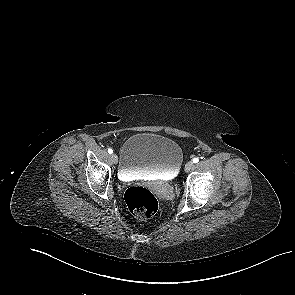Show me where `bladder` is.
Listing matches in <instances>:
<instances>
[{"instance_id": "1", "label": "bladder", "mask_w": 295, "mask_h": 295, "mask_svg": "<svg viewBox=\"0 0 295 295\" xmlns=\"http://www.w3.org/2000/svg\"><path fill=\"white\" fill-rule=\"evenodd\" d=\"M182 163L183 152L177 142L155 133H138L121 148L119 173L122 177L161 175L172 179Z\"/></svg>"}]
</instances>
